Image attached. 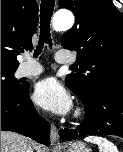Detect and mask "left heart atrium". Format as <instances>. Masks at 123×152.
<instances>
[{
  "label": "left heart atrium",
  "instance_id": "39dd6f15",
  "mask_svg": "<svg viewBox=\"0 0 123 152\" xmlns=\"http://www.w3.org/2000/svg\"><path fill=\"white\" fill-rule=\"evenodd\" d=\"M33 97L39 106L56 114H66L72 107L68 92L54 78L39 81L35 86Z\"/></svg>",
  "mask_w": 123,
  "mask_h": 152
}]
</instances>
